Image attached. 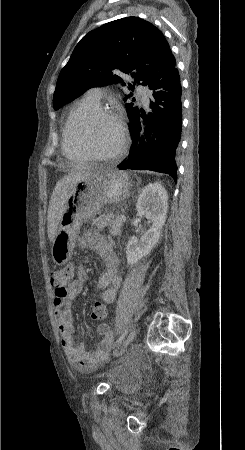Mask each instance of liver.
Segmentation results:
<instances>
[{"label": "liver", "instance_id": "obj_1", "mask_svg": "<svg viewBox=\"0 0 245 450\" xmlns=\"http://www.w3.org/2000/svg\"><path fill=\"white\" fill-rule=\"evenodd\" d=\"M95 170L96 169L86 168L74 171L64 176L56 183L51 195L47 216V232L50 241L53 242L55 238L67 199L70 196L74 184L82 178L90 176Z\"/></svg>", "mask_w": 245, "mask_h": 450}]
</instances>
